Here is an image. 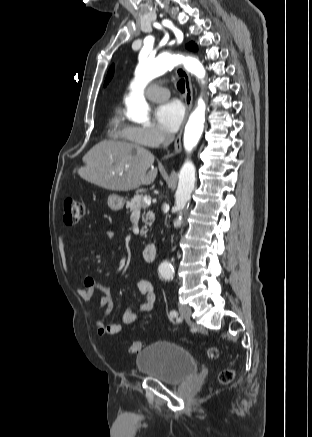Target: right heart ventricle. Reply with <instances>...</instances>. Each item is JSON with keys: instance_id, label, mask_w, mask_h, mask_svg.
I'll list each match as a JSON object with an SVG mask.
<instances>
[{"instance_id": "right-heart-ventricle-1", "label": "right heart ventricle", "mask_w": 312, "mask_h": 437, "mask_svg": "<svg viewBox=\"0 0 312 437\" xmlns=\"http://www.w3.org/2000/svg\"><path fill=\"white\" fill-rule=\"evenodd\" d=\"M110 131L112 133V136L121 141H131L127 136V129L128 125L124 122L121 113L119 111H116L112 118L110 119ZM135 143V142H134Z\"/></svg>"}]
</instances>
